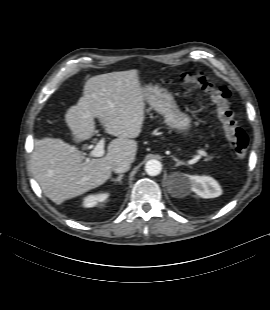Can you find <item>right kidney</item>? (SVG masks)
<instances>
[{"instance_id":"right-kidney-1","label":"right kidney","mask_w":270,"mask_h":310,"mask_svg":"<svg viewBox=\"0 0 270 310\" xmlns=\"http://www.w3.org/2000/svg\"><path fill=\"white\" fill-rule=\"evenodd\" d=\"M108 193H98V194H92L84 197L83 199V206L90 208L97 205L99 202H104L108 198Z\"/></svg>"}]
</instances>
